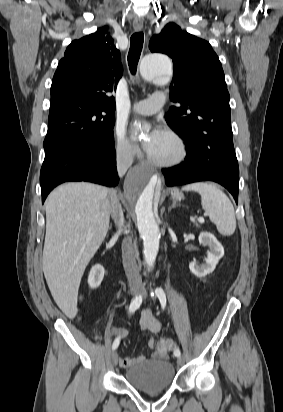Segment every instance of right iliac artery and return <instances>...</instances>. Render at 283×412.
Here are the masks:
<instances>
[{"mask_svg":"<svg viewBox=\"0 0 283 412\" xmlns=\"http://www.w3.org/2000/svg\"><path fill=\"white\" fill-rule=\"evenodd\" d=\"M142 304V296H136L135 298H133V300L131 301V304L129 306V313H134ZM120 343V337H117L112 345V349L115 350L118 348Z\"/></svg>","mask_w":283,"mask_h":412,"instance_id":"1","label":"right iliac artery"}]
</instances>
